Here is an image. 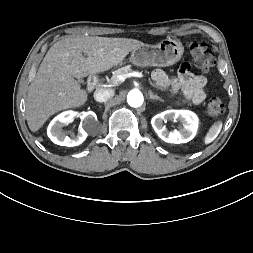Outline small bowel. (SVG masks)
Instances as JSON below:
<instances>
[{
	"label": "small bowel",
	"mask_w": 253,
	"mask_h": 253,
	"mask_svg": "<svg viewBox=\"0 0 253 253\" xmlns=\"http://www.w3.org/2000/svg\"><path fill=\"white\" fill-rule=\"evenodd\" d=\"M179 72L177 77L171 78L163 70H156L152 78L157 85L169 88L173 93L180 92L194 104L202 103L206 97V78L191 74L192 64L188 60L180 62ZM205 75H208V72H205Z\"/></svg>",
	"instance_id": "obj_1"
}]
</instances>
